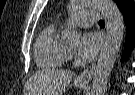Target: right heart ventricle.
<instances>
[{
    "instance_id": "right-heart-ventricle-1",
    "label": "right heart ventricle",
    "mask_w": 135,
    "mask_h": 95,
    "mask_svg": "<svg viewBox=\"0 0 135 95\" xmlns=\"http://www.w3.org/2000/svg\"><path fill=\"white\" fill-rule=\"evenodd\" d=\"M62 26L59 21L50 22L39 33L34 47L35 61L39 67L58 68L67 59V46L60 37Z\"/></svg>"
}]
</instances>
